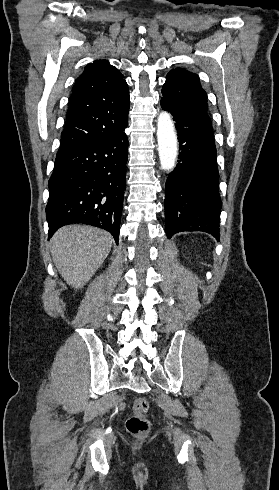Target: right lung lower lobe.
I'll list each match as a JSON object with an SVG mask.
<instances>
[{
    "instance_id": "98d812e1",
    "label": "right lung lower lobe",
    "mask_w": 279,
    "mask_h": 490,
    "mask_svg": "<svg viewBox=\"0 0 279 490\" xmlns=\"http://www.w3.org/2000/svg\"><path fill=\"white\" fill-rule=\"evenodd\" d=\"M127 125L56 155L48 183V239L64 225L83 223L109 231L118 244L128 157Z\"/></svg>"
}]
</instances>
